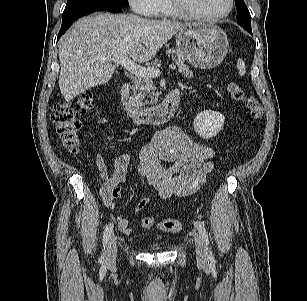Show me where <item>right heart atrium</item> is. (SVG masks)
<instances>
[{"label":"right heart atrium","mask_w":307,"mask_h":301,"mask_svg":"<svg viewBox=\"0 0 307 301\" xmlns=\"http://www.w3.org/2000/svg\"><path fill=\"white\" fill-rule=\"evenodd\" d=\"M133 11L146 17H157L162 11V0H128Z\"/></svg>","instance_id":"right-heart-atrium-1"}]
</instances>
